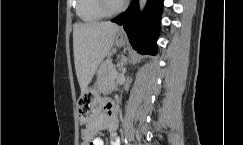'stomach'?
Instances as JSON below:
<instances>
[{
	"mask_svg": "<svg viewBox=\"0 0 243 145\" xmlns=\"http://www.w3.org/2000/svg\"><path fill=\"white\" fill-rule=\"evenodd\" d=\"M115 43L118 46H122L125 43V39L121 34H118L115 38ZM97 85L95 84L93 88H88L78 97V110L80 115V120L83 122L90 121L94 116H97L100 111L99 106L103 103V98L101 94H97Z\"/></svg>",
	"mask_w": 243,
	"mask_h": 145,
	"instance_id": "0dacf381",
	"label": "stomach"
}]
</instances>
